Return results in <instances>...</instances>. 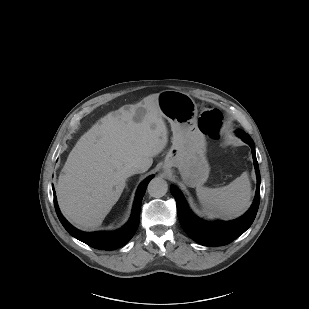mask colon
I'll use <instances>...</instances> for the list:
<instances>
[{
  "label": "colon",
  "mask_w": 309,
  "mask_h": 309,
  "mask_svg": "<svg viewBox=\"0 0 309 309\" xmlns=\"http://www.w3.org/2000/svg\"><path fill=\"white\" fill-rule=\"evenodd\" d=\"M222 124L221 113L212 107H205L201 110L198 118V128L204 134L217 136Z\"/></svg>",
  "instance_id": "obj_1"
}]
</instances>
